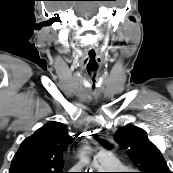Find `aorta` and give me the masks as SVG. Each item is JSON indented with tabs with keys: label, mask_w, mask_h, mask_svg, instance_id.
Wrapping results in <instances>:
<instances>
[{
	"label": "aorta",
	"mask_w": 173,
	"mask_h": 173,
	"mask_svg": "<svg viewBox=\"0 0 173 173\" xmlns=\"http://www.w3.org/2000/svg\"><path fill=\"white\" fill-rule=\"evenodd\" d=\"M80 159H81V161H83V162H87V161H88V158H87V156H86L85 153H82V154L80 155Z\"/></svg>",
	"instance_id": "aorta-1"
}]
</instances>
